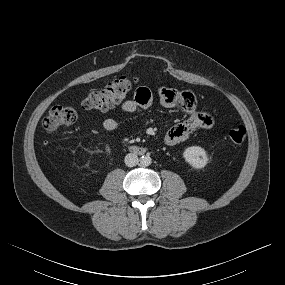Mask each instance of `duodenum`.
<instances>
[{"label":"duodenum","instance_id":"duodenum-1","mask_svg":"<svg viewBox=\"0 0 285 285\" xmlns=\"http://www.w3.org/2000/svg\"><path fill=\"white\" fill-rule=\"evenodd\" d=\"M130 148L134 153H137V154H144L146 152V149L143 147L132 145L130 146Z\"/></svg>","mask_w":285,"mask_h":285}]
</instances>
